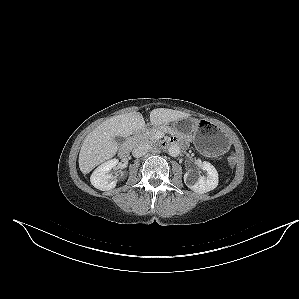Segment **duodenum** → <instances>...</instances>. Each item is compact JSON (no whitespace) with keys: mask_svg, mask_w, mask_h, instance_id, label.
<instances>
[{"mask_svg":"<svg viewBox=\"0 0 299 299\" xmlns=\"http://www.w3.org/2000/svg\"><path fill=\"white\" fill-rule=\"evenodd\" d=\"M178 143H183V141L179 138H171L169 140L164 141L162 145L170 146V145L178 144ZM132 146H133V141L131 139L126 141L119 149V156L121 158L128 157V155L130 154V151L132 149Z\"/></svg>","mask_w":299,"mask_h":299,"instance_id":"duodenum-1","label":"duodenum"}]
</instances>
